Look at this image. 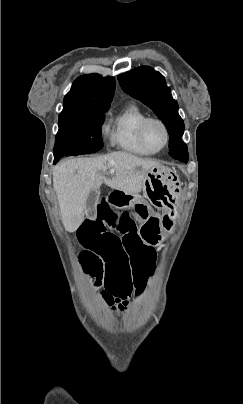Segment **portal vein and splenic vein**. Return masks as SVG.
I'll return each instance as SVG.
<instances>
[{"instance_id": "portal-vein-and-splenic-vein-1", "label": "portal vein and splenic vein", "mask_w": 243, "mask_h": 404, "mask_svg": "<svg viewBox=\"0 0 243 404\" xmlns=\"http://www.w3.org/2000/svg\"><path fill=\"white\" fill-rule=\"evenodd\" d=\"M115 170H110V174H114Z\"/></svg>"}]
</instances>
